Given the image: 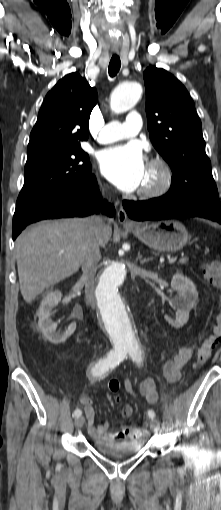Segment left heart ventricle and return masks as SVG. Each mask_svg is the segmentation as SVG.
<instances>
[{
  "label": "left heart ventricle",
  "instance_id": "left-heart-ventricle-1",
  "mask_svg": "<svg viewBox=\"0 0 221 510\" xmlns=\"http://www.w3.org/2000/svg\"><path fill=\"white\" fill-rule=\"evenodd\" d=\"M159 181V172L155 168L146 166L145 175L140 189L154 187Z\"/></svg>",
  "mask_w": 221,
  "mask_h": 510
}]
</instances>
